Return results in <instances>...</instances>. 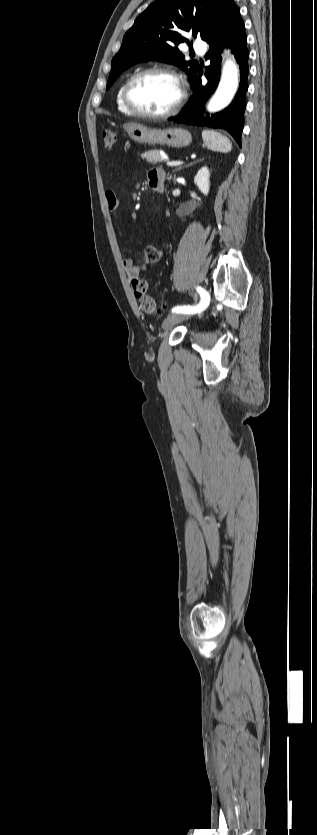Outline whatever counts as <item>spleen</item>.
<instances>
[{"label": "spleen", "mask_w": 317, "mask_h": 835, "mask_svg": "<svg viewBox=\"0 0 317 835\" xmlns=\"http://www.w3.org/2000/svg\"><path fill=\"white\" fill-rule=\"evenodd\" d=\"M202 139L209 150L226 153L232 149L230 140L217 131L203 130Z\"/></svg>", "instance_id": "1"}]
</instances>
